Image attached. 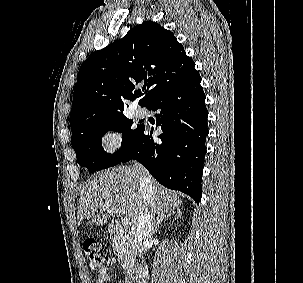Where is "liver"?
<instances>
[{
    "instance_id": "1",
    "label": "liver",
    "mask_w": 303,
    "mask_h": 283,
    "mask_svg": "<svg viewBox=\"0 0 303 283\" xmlns=\"http://www.w3.org/2000/svg\"><path fill=\"white\" fill-rule=\"evenodd\" d=\"M140 175L141 172L133 167L118 166L92 176L79 196V223L87 219L91 225L106 224L110 213L117 209L120 214H126L130 226L137 227L141 203ZM151 181L153 196L149 211L152 215L158 218L179 210L183 204L181 194L164 188L153 178Z\"/></svg>"
}]
</instances>
